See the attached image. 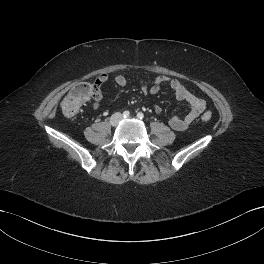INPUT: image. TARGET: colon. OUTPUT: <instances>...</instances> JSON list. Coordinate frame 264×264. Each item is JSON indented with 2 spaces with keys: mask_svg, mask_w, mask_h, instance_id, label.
I'll return each instance as SVG.
<instances>
[{
  "mask_svg": "<svg viewBox=\"0 0 264 264\" xmlns=\"http://www.w3.org/2000/svg\"><path fill=\"white\" fill-rule=\"evenodd\" d=\"M95 87L91 83H80L75 86L63 99L61 109L64 115L72 117L78 113L81 106L92 98ZM212 115L210 112H205L202 115L203 121H209Z\"/></svg>",
  "mask_w": 264,
  "mask_h": 264,
  "instance_id": "obj_1",
  "label": "colon"
}]
</instances>
